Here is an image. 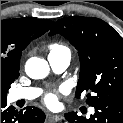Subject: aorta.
Instances as JSON below:
<instances>
[{"instance_id": "1", "label": "aorta", "mask_w": 123, "mask_h": 123, "mask_svg": "<svg viewBox=\"0 0 123 123\" xmlns=\"http://www.w3.org/2000/svg\"><path fill=\"white\" fill-rule=\"evenodd\" d=\"M26 74L32 79H43L50 71L48 62L38 57H31L25 64Z\"/></svg>"}]
</instances>
